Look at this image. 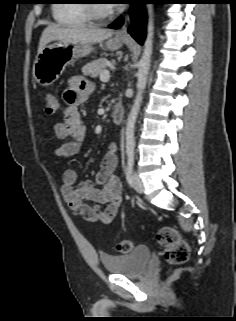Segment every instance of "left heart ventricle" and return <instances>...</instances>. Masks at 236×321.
<instances>
[{"mask_svg":"<svg viewBox=\"0 0 236 321\" xmlns=\"http://www.w3.org/2000/svg\"><path fill=\"white\" fill-rule=\"evenodd\" d=\"M97 9L100 13H106L111 6L109 4H106L104 1H97Z\"/></svg>","mask_w":236,"mask_h":321,"instance_id":"obj_1","label":"left heart ventricle"}]
</instances>
